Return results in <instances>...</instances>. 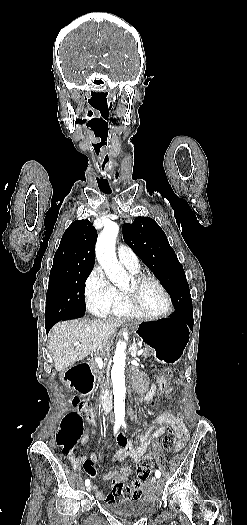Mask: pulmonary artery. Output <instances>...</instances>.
Listing matches in <instances>:
<instances>
[{"instance_id": "e3ab8cb5", "label": "pulmonary artery", "mask_w": 247, "mask_h": 525, "mask_svg": "<svg viewBox=\"0 0 247 525\" xmlns=\"http://www.w3.org/2000/svg\"><path fill=\"white\" fill-rule=\"evenodd\" d=\"M117 255L123 264H132L137 261V257L133 250L124 243L118 244Z\"/></svg>"}]
</instances>
